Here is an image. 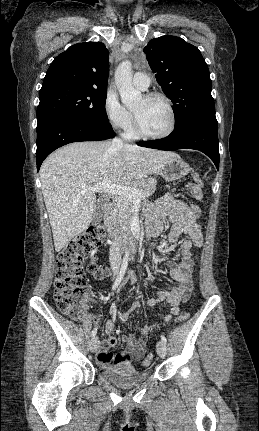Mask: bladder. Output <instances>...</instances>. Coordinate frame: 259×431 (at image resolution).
I'll return each instance as SVG.
<instances>
[{
    "mask_svg": "<svg viewBox=\"0 0 259 431\" xmlns=\"http://www.w3.org/2000/svg\"><path fill=\"white\" fill-rule=\"evenodd\" d=\"M102 374L116 385L126 387L147 380L151 371L137 370L131 365H117L103 369Z\"/></svg>",
    "mask_w": 259,
    "mask_h": 431,
    "instance_id": "1",
    "label": "bladder"
}]
</instances>
